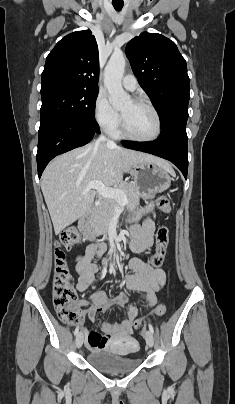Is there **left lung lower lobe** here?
<instances>
[{
  "label": "left lung lower lobe",
  "instance_id": "0a47b994",
  "mask_svg": "<svg viewBox=\"0 0 235 404\" xmlns=\"http://www.w3.org/2000/svg\"><path fill=\"white\" fill-rule=\"evenodd\" d=\"M128 149L150 153L167 159L175 164L187 179L188 145L186 127L176 126L162 131L157 140L145 144L122 141Z\"/></svg>",
  "mask_w": 235,
  "mask_h": 404
}]
</instances>
